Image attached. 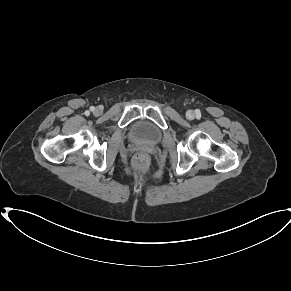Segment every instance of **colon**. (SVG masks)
Segmentation results:
<instances>
[{"mask_svg":"<svg viewBox=\"0 0 291 291\" xmlns=\"http://www.w3.org/2000/svg\"><path fill=\"white\" fill-rule=\"evenodd\" d=\"M147 162H148L147 157L144 154H138L135 157V164L138 168H141V169L146 168Z\"/></svg>","mask_w":291,"mask_h":291,"instance_id":"obj_1","label":"colon"}]
</instances>
